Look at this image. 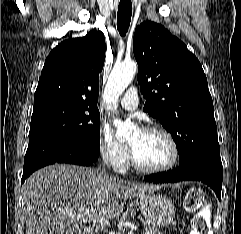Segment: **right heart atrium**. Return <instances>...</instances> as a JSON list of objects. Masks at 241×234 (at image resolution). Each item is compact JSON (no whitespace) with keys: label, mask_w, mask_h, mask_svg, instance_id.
<instances>
[{"label":"right heart atrium","mask_w":241,"mask_h":234,"mask_svg":"<svg viewBox=\"0 0 241 234\" xmlns=\"http://www.w3.org/2000/svg\"><path fill=\"white\" fill-rule=\"evenodd\" d=\"M98 151L106 164L119 171L128 158V147L119 141L109 126L101 125L98 132Z\"/></svg>","instance_id":"right-heart-atrium-1"}]
</instances>
